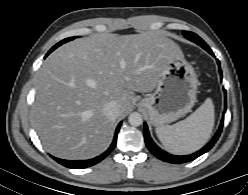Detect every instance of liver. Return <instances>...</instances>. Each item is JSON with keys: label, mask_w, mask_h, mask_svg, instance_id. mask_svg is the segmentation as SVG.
Listing matches in <instances>:
<instances>
[{"label": "liver", "mask_w": 248, "mask_h": 195, "mask_svg": "<svg viewBox=\"0 0 248 195\" xmlns=\"http://www.w3.org/2000/svg\"><path fill=\"white\" fill-rule=\"evenodd\" d=\"M180 47L165 35L95 34L52 52L37 74L32 117L47 152L63 159H89L110 145L114 121L103 113L116 101L120 115L135 92L153 91Z\"/></svg>", "instance_id": "obj_1"}]
</instances>
